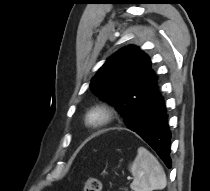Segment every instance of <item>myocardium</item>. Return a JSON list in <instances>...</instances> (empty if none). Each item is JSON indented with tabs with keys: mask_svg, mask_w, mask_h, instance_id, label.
I'll return each instance as SVG.
<instances>
[{
	"mask_svg": "<svg viewBox=\"0 0 210 191\" xmlns=\"http://www.w3.org/2000/svg\"><path fill=\"white\" fill-rule=\"evenodd\" d=\"M98 117L96 120L95 118ZM118 117L117 109L107 102H98L90 106L83 117L84 126L96 131L113 124Z\"/></svg>",
	"mask_w": 210,
	"mask_h": 191,
	"instance_id": "1",
	"label": "myocardium"
}]
</instances>
